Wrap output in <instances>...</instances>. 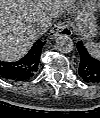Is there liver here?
<instances>
[{"mask_svg": "<svg viewBox=\"0 0 100 118\" xmlns=\"http://www.w3.org/2000/svg\"><path fill=\"white\" fill-rule=\"evenodd\" d=\"M74 0H0V58L16 61L31 48L39 34L35 24L68 13ZM79 13V11H78Z\"/></svg>", "mask_w": 100, "mask_h": 118, "instance_id": "liver-1", "label": "liver"}]
</instances>
